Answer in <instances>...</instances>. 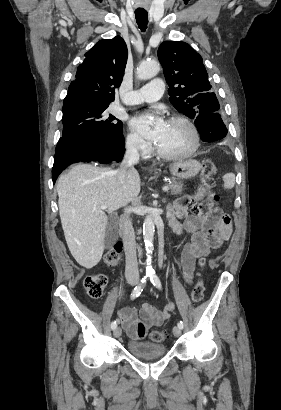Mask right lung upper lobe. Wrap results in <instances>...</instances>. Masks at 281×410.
Masks as SVG:
<instances>
[{"label":"right lung upper lobe","mask_w":281,"mask_h":410,"mask_svg":"<svg viewBox=\"0 0 281 410\" xmlns=\"http://www.w3.org/2000/svg\"><path fill=\"white\" fill-rule=\"evenodd\" d=\"M127 56L126 43L120 36L97 42L77 68L76 79L69 86L63 106L76 103L109 105L122 82Z\"/></svg>","instance_id":"1"}]
</instances>
